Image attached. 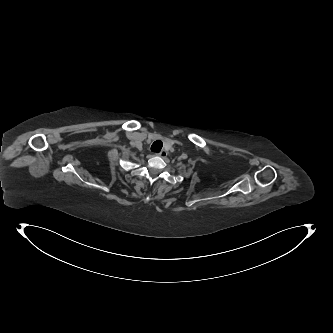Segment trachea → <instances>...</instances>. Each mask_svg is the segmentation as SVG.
<instances>
[{
    "label": "trachea",
    "mask_w": 333,
    "mask_h": 333,
    "mask_svg": "<svg viewBox=\"0 0 333 333\" xmlns=\"http://www.w3.org/2000/svg\"><path fill=\"white\" fill-rule=\"evenodd\" d=\"M162 146H163V143L160 140H157L152 144L151 151L158 153L161 151Z\"/></svg>",
    "instance_id": "1"
}]
</instances>
